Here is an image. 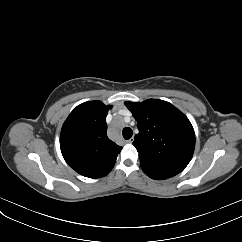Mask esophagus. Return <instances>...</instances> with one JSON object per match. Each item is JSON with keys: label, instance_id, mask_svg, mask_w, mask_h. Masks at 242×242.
<instances>
[{"label": "esophagus", "instance_id": "obj_1", "mask_svg": "<svg viewBox=\"0 0 242 242\" xmlns=\"http://www.w3.org/2000/svg\"><path fill=\"white\" fill-rule=\"evenodd\" d=\"M126 142L129 143V144L132 143L133 142V138L128 139Z\"/></svg>", "mask_w": 242, "mask_h": 242}]
</instances>
